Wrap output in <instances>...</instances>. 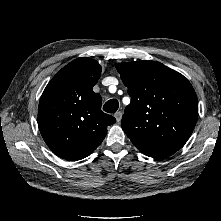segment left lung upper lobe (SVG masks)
Wrapping results in <instances>:
<instances>
[{
    "label": "left lung upper lobe",
    "mask_w": 221,
    "mask_h": 221,
    "mask_svg": "<svg viewBox=\"0 0 221 221\" xmlns=\"http://www.w3.org/2000/svg\"><path fill=\"white\" fill-rule=\"evenodd\" d=\"M131 97L122 129L143 154L168 157L182 148L195 127L198 101L190 82L157 61L116 66Z\"/></svg>",
    "instance_id": "left-lung-upper-lobe-1"
}]
</instances>
